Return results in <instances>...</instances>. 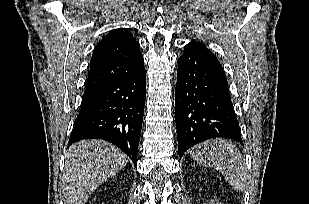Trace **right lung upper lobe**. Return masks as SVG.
I'll list each match as a JSON object with an SVG mask.
<instances>
[{"instance_id":"cb5924a9","label":"right lung upper lobe","mask_w":309,"mask_h":204,"mask_svg":"<svg viewBox=\"0 0 309 204\" xmlns=\"http://www.w3.org/2000/svg\"><path fill=\"white\" fill-rule=\"evenodd\" d=\"M142 66L140 45L128 29L113 30L94 49L86 90L135 72Z\"/></svg>"}]
</instances>
